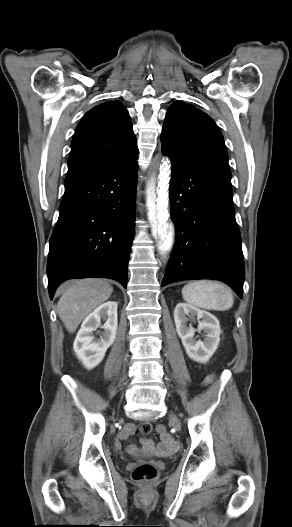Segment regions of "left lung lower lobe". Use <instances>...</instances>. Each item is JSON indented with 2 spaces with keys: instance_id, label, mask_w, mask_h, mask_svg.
<instances>
[{
  "instance_id": "1",
  "label": "left lung lower lobe",
  "mask_w": 292,
  "mask_h": 527,
  "mask_svg": "<svg viewBox=\"0 0 292 527\" xmlns=\"http://www.w3.org/2000/svg\"><path fill=\"white\" fill-rule=\"evenodd\" d=\"M171 157L169 188L176 240L161 285L194 279L227 283L242 297L244 261L231 173Z\"/></svg>"
}]
</instances>
